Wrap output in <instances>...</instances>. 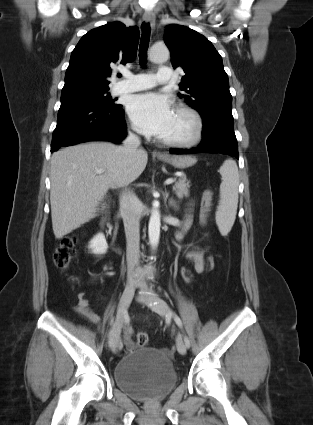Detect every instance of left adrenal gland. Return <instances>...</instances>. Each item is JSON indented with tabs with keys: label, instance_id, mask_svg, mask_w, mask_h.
Segmentation results:
<instances>
[{
	"label": "left adrenal gland",
	"instance_id": "1",
	"mask_svg": "<svg viewBox=\"0 0 313 425\" xmlns=\"http://www.w3.org/2000/svg\"><path fill=\"white\" fill-rule=\"evenodd\" d=\"M168 204H169L170 207H172L174 209L175 212H177L179 210V206L174 199L170 198Z\"/></svg>",
	"mask_w": 313,
	"mask_h": 425
}]
</instances>
